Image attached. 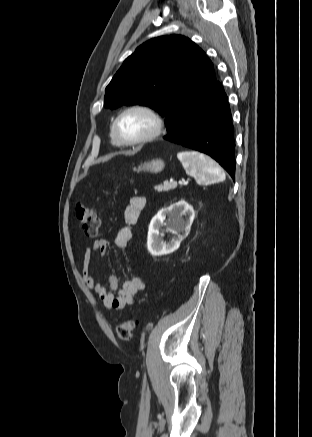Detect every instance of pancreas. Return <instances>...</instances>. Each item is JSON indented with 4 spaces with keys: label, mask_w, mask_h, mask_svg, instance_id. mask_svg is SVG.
<instances>
[{
    "label": "pancreas",
    "mask_w": 312,
    "mask_h": 437,
    "mask_svg": "<svg viewBox=\"0 0 312 437\" xmlns=\"http://www.w3.org/2000/svg\"><path fill=\"white\" fill-rule=\"evenodd\" d=\"M177 186L178 185L176 182L166 181V182H164L163 185H158V186H155L154 188L157 192H165V191L173 190V189L177 188Z\"/></svg>",
    "instance_id": "pancreas-1"
}]
</instances>
